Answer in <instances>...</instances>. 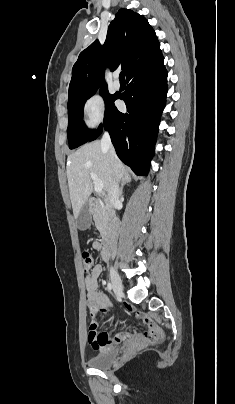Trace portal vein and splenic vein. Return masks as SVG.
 Listing matches in <instances>:
<instances>
[{
    "mask_svg": "<svg viewBox=\"0 0 235 404\" xmlns=\"http://www.w3.org/2000/svg\"><path fill=\"white\" fill-rule=\"evenodd\" d=\"M91 179H92L93 182H94V190H95L97 193H101L102 190H103V187H104L103 182H102L101 180H99L98 177H97V175L94 174V173H91Z\"/></svg>",
    "mask_w": 235,
    "mask_h": 404,
    "instance_id": "1",
    "label": "portal vein and splenic vein"
}]
</instances>
